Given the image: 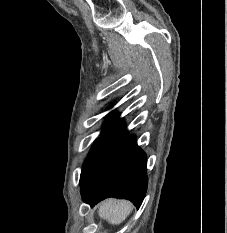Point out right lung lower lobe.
Wrapping results in <instances>:
<instances>
[{
	"label": "right lung lower lobe",
	"instance_id": "98d812e1",
	"mask_svg": "<svg viewBox=\"0 0 227 233\" xmlns=\"http://www.w3.org/2000/svg\"><path fill=\"white\" fill-rule=\"evenodd\" d=\"M147 157L135 135L117 140L80 183L82 199L93 207L107 197L128 199L139 208L147 190Z\"/></svg>",
	"mask_w": 227,
	"mask_h": 233
}]
</instances>
